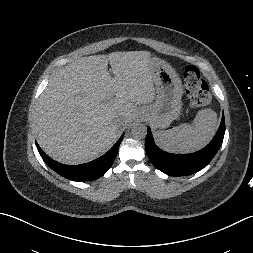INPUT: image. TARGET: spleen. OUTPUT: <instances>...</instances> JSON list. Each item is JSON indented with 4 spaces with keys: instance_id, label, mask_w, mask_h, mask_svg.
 Returning <instances> with one entry per match:
<instances>
[{
    "instance_id": "spleen-1",
    "label": "spleen",
    "mask_w": 253,
    "mask_h": 253,
    "mask_svg": "<svg viewBox=\"0 0 253 253\" xmlns=\"http://www.w3.org/2000/svg\"><path fill=\"white\" fill-rule=\"evenodd\" d=\"M217 129V114L210 108L197 112L193 123L156 133L161 147L172 153H191L206 146Z\"/></svg>"
}]
</instances>
